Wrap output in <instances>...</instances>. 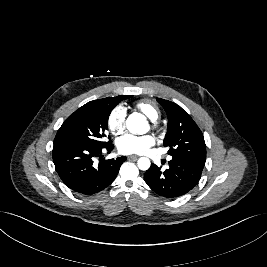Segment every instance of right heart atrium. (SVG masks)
Returning <instances> with one entry per match:
<instances>
[{"label":"right heart atrium","instance_id":"d8ad5b80","mask_svg":"<svg viewBox=\"0 0 267 267\" xmlns=\"http://www.w3.org/2000/svg\"><path fill=\"white\" fill-rule=\"evenodd\" d=\"M127 111L122 105L114 107L108 115L107 125L113 134H121L125 129Z\"/></svg>","mask_w":267,"mask_h":267}]
</instances>
